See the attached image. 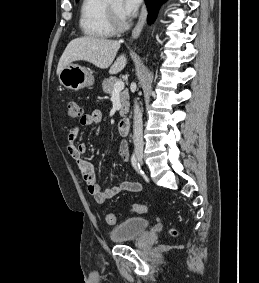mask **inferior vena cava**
<instances>
[{"instance_id":"inferior-vena-cava-1","label":"inferior vena cava","mask_w":259,"mask_h":283,"mask_svg":"<svg viewBox=\"0 0 259 283\" xmlns=\"http://www.w3.org/2000/svg\"><path fill=\"white\" fill-rule=\"evenodd\" d=\"M133 142L136 149H143L142 113L136 102L134 106Z\"/></svg>"}]
</instances>
